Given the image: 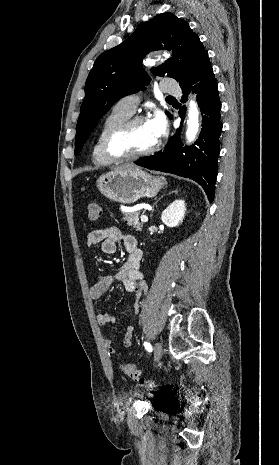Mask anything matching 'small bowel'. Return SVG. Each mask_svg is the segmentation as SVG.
I'll use <instances>...</instances> for the list:
<instances>
[{
    "mask_svg": "<svg viewBox=\"0 0 279 465\" xmlns=\"http://www.w3.org/2000/svg\"><path fill=\"white\" fill-rule=\"evenodd\" d=\"M120 242L124 244L128 258L113 275L99 276L89 291L90 297L94 300L100 299L115 281H120L128 293H139L144 287L143 274L140 271L142 251L133 236L125 234L113 225L93 230L87 236L88 247L100 244L105 254H114L117 250V244ZM97 322L100 326H106L115 322V316L110 312H102L97 315ZM133 334L134 327L128 325L122 337L123 347L130 348L132 346ZM104 343L110 354L116 353L110 339H105Z\"/></svg>",
    "mask_w": 279,
    "mask_h": 465,
    "instance_id": "obj_1",
    "label": "small bowel"
}]
</instances>
